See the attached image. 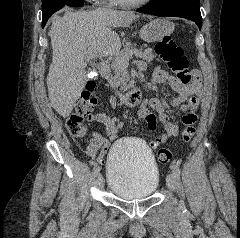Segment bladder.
I'll return each mask as SVG.
<instances>
[{"label": "bladder", "instance_id": "bladder-1", "mask_svg": "<svg viewBox=\"0 0 240 238\" xmlns=\"http://www.w3.org/2000/svg\"><path fill=\"white\" fill-rule=\"evenodd\" d=\"M106 171L110 190L126 200L151 196L159 183L153 152L133 139H123L111 148Z\"/></svg>", "mask_w": 240, "mask_h": 238}]
</instances>
